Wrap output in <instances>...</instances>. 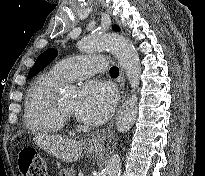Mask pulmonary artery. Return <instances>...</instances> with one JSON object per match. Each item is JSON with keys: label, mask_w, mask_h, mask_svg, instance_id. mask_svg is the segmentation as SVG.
I'll return each mask as SVG.
<instances>
[{"label": "pulmonary artery", "mask_w": 205, "mask_h": 176, "mask_svg": "<svg viewBox=\"0 0 205 176\" xmlns=\"http://www.w3.org/2000/svg\"><path fill=\"white\" fill-rule=\"evenodd\" d=\"M105 62L102 55L74 56L57 62L51 71L62 81L70 82L102 72L106 68Z\"/></svg>", "instance_id": "1"}]
</instances>
